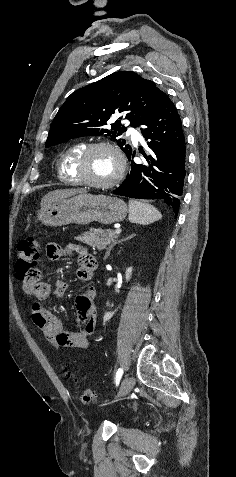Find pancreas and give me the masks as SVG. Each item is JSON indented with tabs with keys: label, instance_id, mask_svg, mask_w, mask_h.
Masks as SVG:
<instances>
[{
	"label": "pancreas",
	"instance_id": "pancreas-1",
	"mask_svg": "<svg viewBox=\"0 0 236 477\" xmlns=\"http://www.w3.org/2000/svg\"><path fill=\"white\" fill-rule=\"evenodd\" d=\"M118 235L112 230L100 232H84L82 236L76 237V240L83 242L92 248L104 250L108 245L114 243Z\"/></svg>",
	"mask_w": 236,
	"mask_h": 477
}]
</instances>
